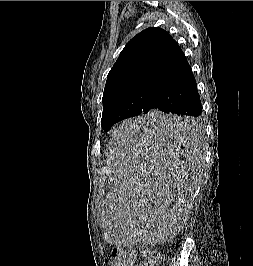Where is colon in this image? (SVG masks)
Listing matches in <instances>:
<instances>
[{
	"instance_id": "5ec220e1",
	"label": "colon",
	"mask_w": 253,
	"mask_h": 266,
	"mask_svg": "<svg viewBox=\"0 0 253 266\" xmlns=\"http://www.w3.org/2000/svg\"><path fill=\"white\" fill-rule=\"evenodd\" d=\"M141 261L138 266H157L161 261V255L154 249L143 248ZM133 252L122 248L114 249L111 256L113 266H129L133 259Z\"/></svg>"
}]
</instances>
